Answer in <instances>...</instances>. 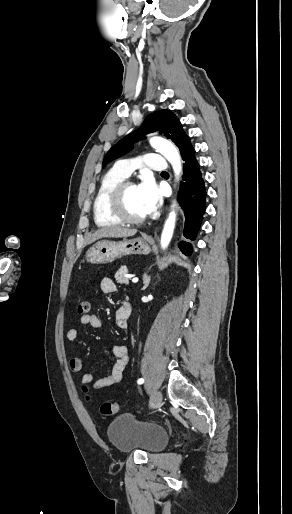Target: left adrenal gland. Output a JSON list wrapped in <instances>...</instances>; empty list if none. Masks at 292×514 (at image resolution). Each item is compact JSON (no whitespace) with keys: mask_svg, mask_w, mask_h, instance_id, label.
I'll return each mask as SVG.
<instances>
[{"mask_svg":"<svg viewBox=\"0 0 292 514\" xmlns=\"http://www.w3.org/2000/svg\"><path fill=\"white\" fill-rule=\"evenodd\" d=\"M143 284H144V286H143L142 290H146L147 286H149V284H150V276H147V274H144V276H143Z\"/></svg>","mask_w":292,"mask_h":514,"instance_id":"left-adrenal-gland-1","label":"left adrenal gland"}]
</instances>
